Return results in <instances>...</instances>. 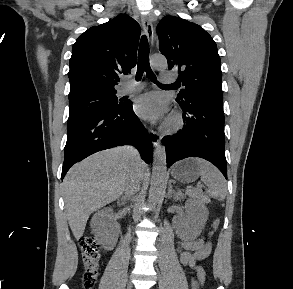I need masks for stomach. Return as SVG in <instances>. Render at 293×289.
<instances>
[{
	"label": "stomach",
	"mask_w": 293,
	"mask_h": 289,
	"mask_svg": "<svg viewBox=\"0 0 293 289\" xmlns=\"http://www.w3.org/2000/svg\"><path fill=\"white\" fill-rule=\"evenodd\" d=\"M171 175L180 182L191 183L200 176V168L194 158H187L174 165Z\"/></svg>",
	"instance_id": "0dacf381"
}]
</instances>
